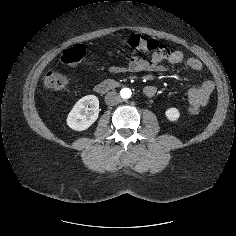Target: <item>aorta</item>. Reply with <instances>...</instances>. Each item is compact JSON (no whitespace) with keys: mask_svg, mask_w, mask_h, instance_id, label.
I'll return each instance as SVG.
<instances>
[{"mask_svg":"<svg viewBox=\"0 0 236 236\" xmlns=\"http://www.w3.org/2000/svg\"><path fill=\"white\" fill-rule=\"evenodd\" d=\"M120 95L123 99H128L131 97L132 95V92H131V89L130 88H123L121 89L120 91Z\"/></svg>","mask_w":236,"mask_h":236,"instance_id":"762f6f07","label":"aorta"}]
</instances>
